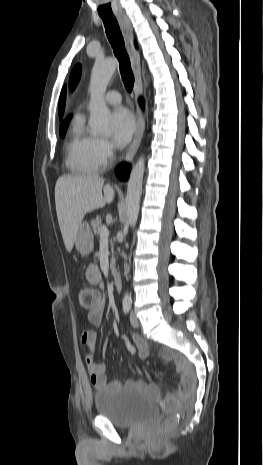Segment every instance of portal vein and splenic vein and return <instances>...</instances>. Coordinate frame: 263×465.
<instances>
[{
  "label": "portal vein and splenic vein",
  "mask_w": 263,
  "mask_h": 465,
  "mask_svg": "<svg viewBox=\"0 0 263 465\" xmlns=\"http://www.w3.org/2000/svg\"><path fill=\"white\" fill-rule=\"evenodd\" d=\"M108 236H109V231H108L107 227L103 225L101 227V231H100V238L101 239H106V238H108Z\"/></svg>",
  "instance_id": "portal-vein-and-splenic-vein-1"
}]
</instances>
